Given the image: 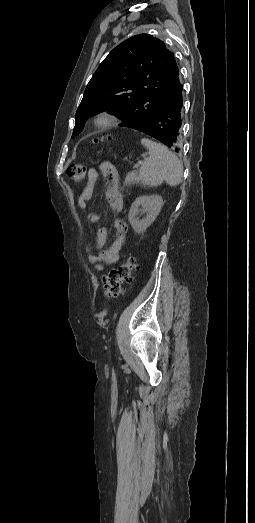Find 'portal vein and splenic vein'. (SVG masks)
I'll return each instance as SVG.
<instances>
[{"mask_svg": "<svg viewBox=\"0 0 255 523\" xmlns=\"http://www.w3.org/2000/svg\"><path fill=\"white\" fill-rule=\"evenodd\" d=\"M140 165H141V162H137V164H135V166L133 168V173H138V168Z\"/></svg>", "mask_w": 255, "mask_h": 523, "instance_id": "18ae733b", "label": "portal vein and splenic vein"}]
</instances>
